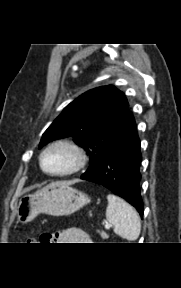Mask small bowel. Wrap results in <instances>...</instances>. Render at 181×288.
<instances>
[{
  "instance_id": "obj_1",
  "label": "small bowel",
  "mask_w": 181,
  "mask_h": 288,
  "mask_svg": "<svg viewBox=\"0 0 181 288\" xmlns=\"http://www.w3.org/2000/svg\"><path fill=\"white\" fill-rule=\"evenodd\" d=\"M43 242L47 243H89V235L78 228H68L59 232H56L53 235H45Z\"/></svg>"
}]
</instances>
